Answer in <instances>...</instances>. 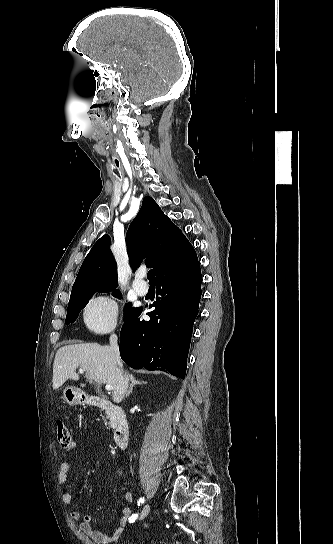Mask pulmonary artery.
Segmentation results:
<instances>
[{"instance_id":"obj_1","label":"pulmonary artery","mask_w":333,"mask_h":544,"mask_svg":"<svg viewBox=\"0 0 333 544\" xmlns=\"http://www.w3.org/2000/svg\"><path fill=\"white\" fill-rule=\"evenodd\" d=\"M143 277H144V272H139L135 280L133 281V289L140 296H144L148 293V285L143 280Z\"/></svg>"}]
</instances>
